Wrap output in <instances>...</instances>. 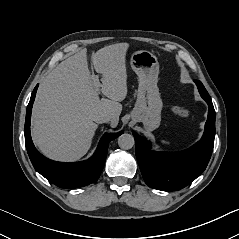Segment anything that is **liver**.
<instances>
[{
    "mask_svg": "<svg viewBox=\"0 0 239 239\" xmlns=\"http://www.w3.org/2000/svg\"><path fill=\"white\" fill-rule=\"evenodd\" d=\"M127 43L103 47L92 54L95 71L102 75L99 99L88 68L85 50L62 61L38 88L32 112V139L47 157L75 161L89 150L98 125L94 119L106 113L111 127L119 122L127 95Z\"/></svg>",
    "mask_w": 239,
    "mask_h": 239,
    "instance_id": "liver-1",
    "label": "liver"
}]
</instances>
